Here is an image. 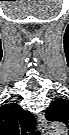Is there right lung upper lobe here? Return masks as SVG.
Segmentation results:
<instances>
[{
    "mask_svg": "<svg viewBox=\"0 0 69 135\" xmlns=\"http://www.w3.org/2000/svg\"><path fill=\"white\" fill-rule=\"evenodd\" d=\"M0 122L3 135H25L27 130L36 127L34 116L15 103L5 104L0 108Z\"/></svg>",
    "mask_w": 69,
    "mask_h": 135,
    "instance_id": "right-lung-upper-lobe-1",
    "label": "right lung upper lobe"
}]
</instances>
